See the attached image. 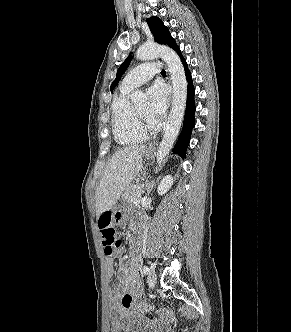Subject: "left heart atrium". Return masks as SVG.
I'll use <instances>...</instances> for the list:
<instances>
[{
  "label": "left heart atrium",
  "instance_id": "left-heart-atrium-1",
  "mask_svg": "<svg viewBox=\"0 0 291 332\" xmlns=\"http://www.w3.org/2000/svg\"><path fill=\"white\" fill-rule=\"evenodd\" d=\"M148 110L147 117L153 124L159 123L166 111L168 104V93L161 84H154L148 89Z\"/></svg>",
  "mask_w": 291,
  "mask_h": 332
}]
</instances>
